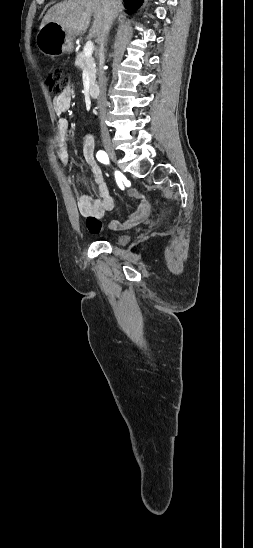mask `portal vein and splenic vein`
Instances as JSON below:
<instances>
[{
  "label": "portal vein and splenic vein",
  "mask_w": 253,
  "mask_h": 548,
  "mask_svg": "<svg viewBox=\"0 0 253 548\" xmlns=\"http://www.w3.org/2000/svg\"><path fill=\"white\" fill-rule=\"evenodd\" d=\"M93 51H94V44H93L92 41H88V42L86 43V45L84 46V50H83L84 55H85L86 57H91Z\"/></svg>",
  "instance_id": "18ae733b"
}]
</instances>
